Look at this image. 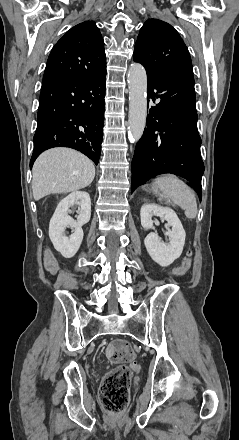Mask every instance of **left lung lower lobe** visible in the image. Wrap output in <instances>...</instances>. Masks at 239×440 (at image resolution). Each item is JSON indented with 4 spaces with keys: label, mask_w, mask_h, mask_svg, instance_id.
<instances>
[{
    "label": "left lung lower lobe",
    "mask_w": 239,
    "mask_h": 440,
    "mask_svg": "<svg viewBox=\"0 0 239 440\" xmlns=\"http://www.w3.org/2000/svg\"><path fill=\"white\" fill-rule=\"evenodd\" d=\"M147 78L149 114L132 160L131 192L143 180L171 173L190 181L201 199L204 164L197 130L194 77L162 71L147 72Z\"/></svg>",
    "instance_id": "obj_1"
}]
</instances>
